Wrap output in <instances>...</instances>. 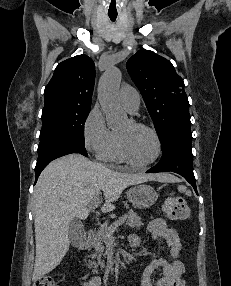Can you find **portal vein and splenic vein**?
Returning a JSON list of instances; mask_svg holds the SVG:
<instances>
[{
  "label": "portal vein and splenic vein",
  "instance_id": "1",
  "mask_svg": "<svg viewBox=\"0 0 231 286\" xmlns=\"http://www.w3.org/2000/svg\"><path fill=\"white\" fill-rule=\"evenodd\" d=\"M99 205V199L96 197L92 200L91 204L89 205V209H95ZM125 222V219H119L113 223V225L109 228V232L112 235V233L115 231V229L122 225Z\"/></svg>",
  "mask_w": 231,
  "mask_h": 286
}]
</instances>
